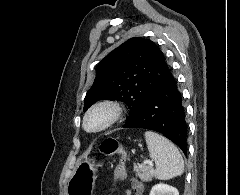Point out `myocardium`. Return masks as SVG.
Masks as SVG:
<instances>
[{
    "instance_id": "1",
    "label": "myocardium",
    "mask_w": 240,
    "mask_h": 195,
    "mask_svg": "<svg viewBox=\"0 0 240 195\" xmlns=\"http://www.w3.org/2000/svg\"><path fill=\"white\" fill-rule=\"evenodd\" d=\"M122 114L120 104L114 100H104L90 107L84 115L83 127L87 132H101L116 123ZM92 118H98L96 125H90Z\"/></svg>"
}]
</instances>
